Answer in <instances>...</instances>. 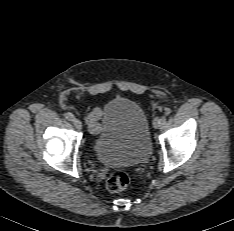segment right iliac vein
Wrapping results in <instances>:
<instances>
[{
	"instance_id": "1",
	"label": "right iliac vein",
	"mask_w": 234,
	"mask_h": 231,
	"mask_svg": "<svg viewBox=\"0 0 234 231\" xmlns=\"http://www.w3.org/2000/svg\"><path fill=\"white\" fill-rule=\"evenodd\" d=\"M73 124L76 127V129H78V130L82 129V122L79 119L74 118Z\"/></svg>"
}]
</instances>
